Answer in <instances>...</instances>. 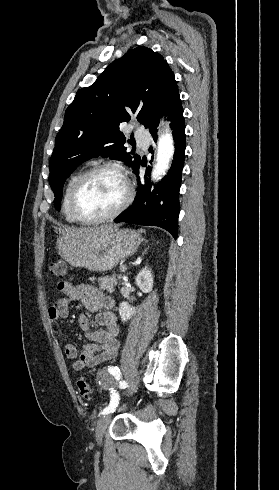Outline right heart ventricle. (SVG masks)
Returning <instances> with one entry per match:
<instances>
[{
	"label": "right heart ventricle",
	"instance_id": "1",
	"mask_svg": "<svg viewBox=\"0 0 279 490\" xmlns=\"http://www.w3.org/2000/svg\"><path fill=\"white\" fill-rule=\"evenodd\" d=\"M81 174L80 171L72 173L67 179L63 189L61 211L66 222L70 224H78V221L71 211V196L74 185Z\"/></svg>",
	"mask_w": 279,
	"mask_h": 490
}]
</instances>
